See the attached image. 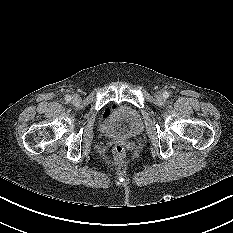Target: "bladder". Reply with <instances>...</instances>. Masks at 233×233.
<instances>
[{
  "instance_id": "31cf9c89",
  "label": "bladder",
  "mask_w": 233,
  "mask_h": 233,
  "mask_svg": "<svg viewBox=\"0 0 233 233\" xmlns=\"http://www.w3.org/2000/svg\"><path fill=\"white\" fill-rule=\"evenodd\" d=\"M144 128L139 112L126 105L114 108L101 121L100 131L108 138H132L142 133Z\"/></svg>"
}]
</instances>
